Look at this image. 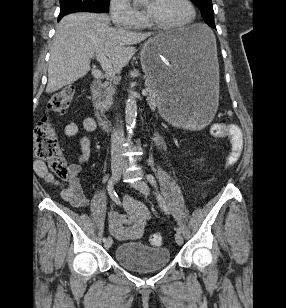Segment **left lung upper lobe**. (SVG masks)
Listing matches in <instances>:
<instances>
[{
	"mask_svg": "<svg viewBox=\"0 0 286 308\" xmlns=\"http://www.w3.org/2000/svg\"><path fill=\"white\" fill-rule=\"evenodd\" d=\"M201 11L205 22L208 25H214V11L211 0H191Z\"/></svg>",
	"mask_w": 286,
	"mask_h": 308,
	"instance_id": "1",
	"label": "left lung upper lobe"
}]
</instances>
